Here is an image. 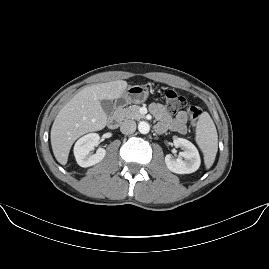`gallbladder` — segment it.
I'll return each mask as SVG.
<instances>
[{
  "mask_svg": "<svg viewBox=\"0 0 269 269\" xmlns=\"http://www.w3.org/2000/svg\"><path fill=\"white\" fill-rule=\"evenodd\" d=\"M101 108L105 112L107 116H110L113 114L114 111V102L112 100L108 99H102L100 100Z\"/></svg>",
  "mask_w": 269,
  "mask_h": 269,
  "instance_id": "obj_1",
  "label": "gallbladder"
}]
</instances>
